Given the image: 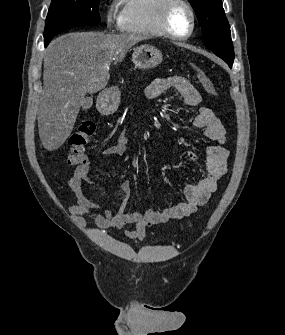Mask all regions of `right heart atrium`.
Wrapping results in <instances>:
<instances>
[{"instance_id":"right-heart-atrium-1","label":"right heart atrium","mask_w":285,"mask_h":335,"mask_svg":"<svg viewBox=\"0 0 285 335\" xmlns=\"http://www.w3.org/2000/svg\"><path fill=\"white\" fill-rule=\"evenodd\" d=\"M104 18L108 25H111L117 19L116 10L111 8L104 11Z\"/></svg>"}]
</instances>
